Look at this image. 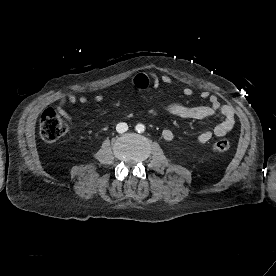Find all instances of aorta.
<instances>
[{"label":"aorta","mask_w":276,"mask_h":276,"mask_svg":"<svg viewBox=\"0 0 276 276\" xmlns=\"http://www.w3.org/2000/svg\"><path fill=\"white\" fill-rule=\"evenodd\" d=\"M135 129L138 133H143L145 131V126L143 124H137Z\"/></svg>","instance_id":"1"}]
</instances>
